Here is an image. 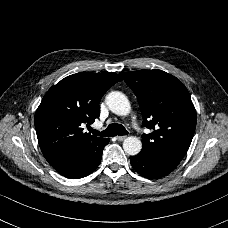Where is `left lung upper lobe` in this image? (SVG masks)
I'll return each mask as SVG.
<instances>
[{"mask_svg":"<svg viewBox=\"0 0 228 228\" xmlns=\"http://www.w3.org/2000/svg\"><path fill=\"white\" fill-rule=\"evenodd\" d=\"M120 74L137 96L143 125L153 130L142 135L141 153L180 162L196 128V111L186 87L176 77L158 69Z\"/></svg>","mask_w":228,"mask_h":228,"instance_id":"left-lung-upper-lobe-1","label":"left lung upper lobe"}]
</instances>
